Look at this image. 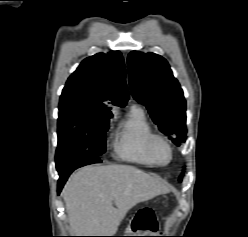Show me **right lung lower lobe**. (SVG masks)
Instances as JSON below:
<instances>
[{
    "label": "right lung lower lobe",
    "mask_w": 248,
    "mask_h": 237,
    "mask_svg": "<svg viewBox=\"0 0 248 237\" xmlns=\"http://www.w3.org/2000/svg\"><path fill=\"white\" fill-rule=\"evenodd\" d=\"M101 160L99 156L90 155L87 153L82 154H63L57 155L56 154V168L59 173V180H58V194L62 190L65 182L67 181L69 175L77 168L93 164V163H100Z\"/></svg>",
    "instance_id": "obj_1"
}]
</instances>
